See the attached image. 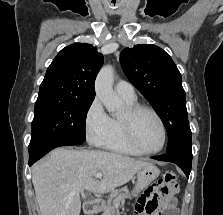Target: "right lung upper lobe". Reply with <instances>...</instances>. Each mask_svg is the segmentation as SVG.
I'll return each instance as SVG.
<instances>
[{
	"label": "right lung upper lobe",
	"instance_id": "obj_1",
	"mask_svg": "<svg viewBox=\"0 0 223 215\" xmlns=\"http://www.w3.org/2000/svg\"><path fill=\"white\" fill-rule=\"evenodd\" d=\"M102 64V54L90 44L63 48L48 67L38 97L93 101L94 82Z\"/></svg>",
	"mask_w": 223,
	"mask_h": 215
}]
</instances>
